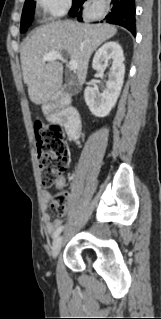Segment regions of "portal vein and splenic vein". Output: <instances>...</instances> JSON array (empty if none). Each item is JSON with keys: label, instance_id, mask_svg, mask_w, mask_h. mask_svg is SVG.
Wrapping results in <instances>:
<instances>
[{"label": "portal vein and splenic vein", "instance_id": "obj_1", "mask_svg": "<svg viewBox=\"0 0 161 319\" xmlns=\"http://www.w3.org/2000/svg\"><path fill=\"white\" fill-rule=\"evenodd\" d=\"M61 60L63 62H66V59L63 58L62 54L58 51H50L48 52L46 55H44L42 57V60L43 61H49V62H52V61H55V60ZM68 68L72 71L76 70L77 69V66H78V63L76 60H71L68 64H67Z\"/></svg>", "mask_w": 161, "mask_h": 319}]
</instances>
